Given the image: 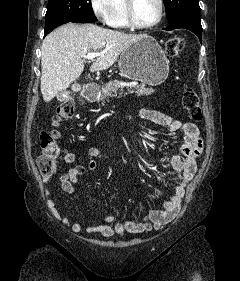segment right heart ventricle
<instances>
[{
	"instance_id": "1",
	"label": "right heart ventricle",
	"mask_w": 240,
	"mask_h": 281,
	"mask_svg": "<svg viewBox=\"0 0 240 281\" xmlns=\"http://www.w3.org/2000/svg\"><path fill=\"white\" fill-rule=\"evenodd\" d=\"M112 8V15L108 24L114 28H128L129 23L127 19L126 1L113 0Z\"/></svg>"
}]
</instances>
